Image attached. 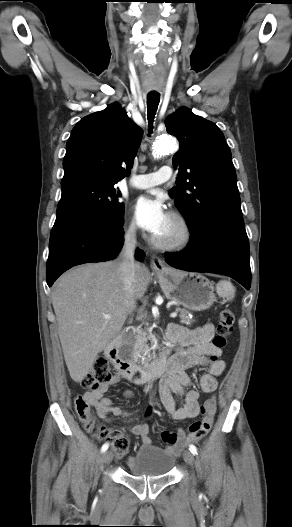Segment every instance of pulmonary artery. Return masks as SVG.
<instances>
[{"label":"pulmonary artery","instance_id":"1","mask_svg":"<svg viewBox=\"0 0 292 527\" xmlns=\"http://www.w3.org/2000/svg\"><path fill=\"white\" fill-rule=\"evenodd\" d=\"M171 175V168L169 166H163L156 172L134 176L130 184L138 189H147L168 181Z\"/></svg>","mask_w":292,"mask_h":527}]
</instances>
